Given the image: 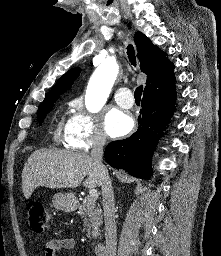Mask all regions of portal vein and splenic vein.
<instances>
[{
	"mask_svg": "<svg viewBox=\"0 0 221 256\" xmlns=\"http://www.w3.org/2000/svg\"><path fill=\"white\" fill-rule=\"evenodd\" d=\"M91 199L96 200L98 198V192L96 189L89 190V196Z\"/></svg>",
	"mask_w": 221,
	"mask_h": 256,
	"instance_id": "1",
	"label": "portal vein and splenic vein"
}]
</instances>
